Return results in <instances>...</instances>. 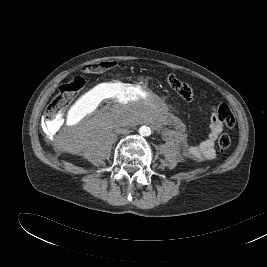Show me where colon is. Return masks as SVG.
Segmentation results:
<instances>
[{
	"mask_svg": "<svg viewBox=\"0 0 267 267\" xmlns=\"http://www.w3.org/2000/svg\"><path fill=\"white\" fill-rule=\"evenodd\" d=\"M110 63H97L89 65L85 68L87 72H97L107 68ZM168 86L174 90L182 99L191 101L194 97L193 88L186 82L180 80L175 74H168L166 77ZM85 85L81 77H75L67 83L63 84L46 109V122H55L66 108L72 103L77 94ZM217 112L222 122L229 128L235 124V117L231 109L226 104H220L217 107ZM231 145V138L228 134H222L218 139V146L222 151L227 150Z\"/></svg>",
	"mask_w": 267,
	"mask_h": 267,
	"instance_id": "5ec220e1",
	"label": "colon"
}]
</instances>
